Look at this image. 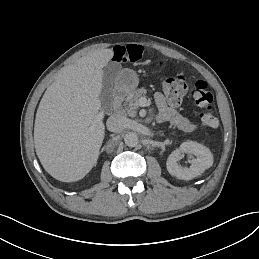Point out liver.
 Instances as JSON below:
<instances>
[{
  "mask_svg": "<svg viewBox=\"0 0 259 259\" xmlns=\"http://www.w3.org/2000/svg\"><path fill=\"white\" fill-rule=\"evenodd\" d=\"M112 49H95L65 67L45 91L34 124V147L45 169L58 181L84 179L96 166L105 135L101 109L104 67Z\"/></svg>",
  "mask_w": 259,
  "mask_h": 259,
  "instance_id": "liver-1",
  "label": "liver"
}]
</instances>
